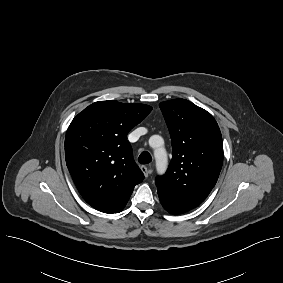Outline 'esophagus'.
<instances>
[{
  "label": "esophagus",
  "mask_w": 283,
  "mask_h": 283,
  "mask_svg": "<svg viewBox=\"0 0 283 283\" xmlns=\"http://www.w3.org/2000/svg\"><path fill=\"white\" fill-rule=\"evenodd\" d=\"M140 169H141V171L143 172L144 176H145V177H148V175H149V173H150V169H149L147 166H145V165H142V166L140 167Z\"/></svg>",
  "instance_id": "34e87169"
}]
</instances>
